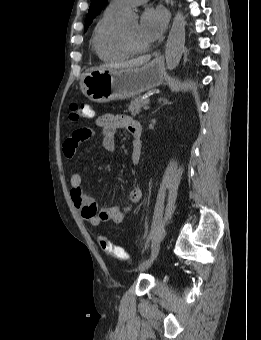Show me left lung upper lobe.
<instances>
[{
	"label": "left lung upper lobe",
	"mask_w": 261,
	"mask_h": 340,
	"mask_svg": "<svg viewBox=\"0 0 261 340\" xmlns=\"http://www.w3.org/2000/svg\"><path fill=\"white\" fill-rule=\"evenodd\" d=\"M107 0H92L85 22V30L92 23L93 18L98 15Z\"/></svg>",
	"instance_id": "left-lung-upper-lobe-1"
}]
</instances>
